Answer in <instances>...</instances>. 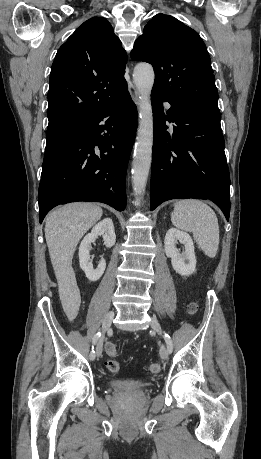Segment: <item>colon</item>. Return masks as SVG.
<instances>
[{"label":"colon","instance_id":"obj_1","mask_svg":"<svg viewBox=\"0 0 261 459\" xmlns=\"http://www.w3.org/2000/svg\"><path fill=\"white\" fill-rule=\"evenodd\" d=\"M198 310V304L195 302H192L188 305V312L191 315H194ZM106 354L110 357H114L117 354V346L109 342L106 344L105 347ZM106 367L110 372L116 373L120 370V364L116 360L110 359L106 363ZM161 370V367L158 363H153L149 366V371L153 374L159 373Z\"/></svg>","mask_w":261,"mask_h":459}]
</instances>
